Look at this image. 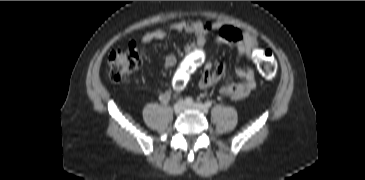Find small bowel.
I'll use <instances>...</instances> for the list:
<instances>
[{
	"instance_id": "obj_1",
	"label": "small bowel",
	"mask_w": 365,
	"mask_h": 180,
	"mask_svg": "<svg viewBox=\"0 0 365 180\" xmlns=\"http://www.w3.org/2000/svg\"><path fill=\"white\" fill-rule=\"evenodd\" d=\"M187 32L194 35V41L185 47L187 57L174 77L177 87L182 85L190 74L201 69V76L198 86L201 89H210L220 80L225 79L226 83L220 88L221 95L231 99L240 100L247 97L256 86L255 72L251 67L237 66L235 74L239 80H233L223 63L214 64L206 55V38L213 32H217V42L229 44L236 49L238 59L245 58L253 61L254 54L260 49L258 37L248 31H242L225 23L203 22L200 20H181L168 25L163 29L147 32L143 35L141 42L150 43L155 40L166 38L170 32ZM165 67L172 68L177 63L174 54L169 53L165 57ZM171 92L165 91L161 94L162 102H168Z\"/></svg>"
}]
</instances>
